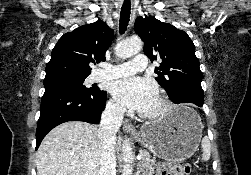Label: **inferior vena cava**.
Masks as SVG:
<instances>
[{"label":"inferior vena cava","instance_id":"obj_1","mask_svg":"<svg viewBox=\"0 0 251 175\" xmlns=\"http://www.w3.org/2000/svg\"><path fill=\"white\" fill-rule=\"evenodd\" d=\"M125 111V107H120V105H109V107H105L101 115L97 131L102 139L103 147L99 175H116V133L121 127Z\"/></svg>","mask_w":251,"mask_h":175}]
</instances>
